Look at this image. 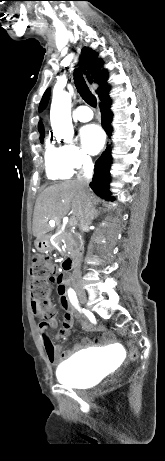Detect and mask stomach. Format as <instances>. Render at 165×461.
I'll return each mask as SVG.
<instances>
[{"mask_svg":"<svg viewBox=\"0 0 165 461\" xmlns=\"http://www.w3.org/2000/svg\"><path fill=\"white\" fill-rule=\"evenodd\" d=\"M35 248L39 252H45L46 250L52 248L50 244V237L48 235H45L39 239L36 240L35 242Z\"/></svg>","mask_w":165,"mask_h":461,"instance_id":"1","label":"stomach"}]
</instances>
